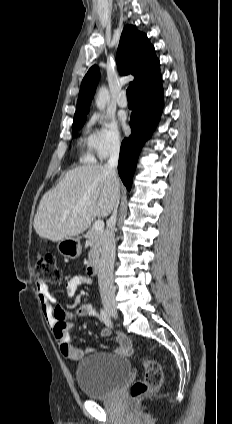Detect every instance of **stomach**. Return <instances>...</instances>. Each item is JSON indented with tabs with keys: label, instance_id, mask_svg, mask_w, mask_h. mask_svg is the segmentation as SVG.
<instances>
[{
	"label": "stomach",
	"instance_id": "obj_1",
	"mask_svg": "<svg viewBox=\"0 0 232 424\" xmlns=\"http://www.w3.org/2000/svg\"><path fill=\"white\" fill-rule=\"evenodd\" d=\"M57 249L61 255L69 259L80 256L82 246L79 237H70L58 242Z\"/></svg>",
	"mask_w": 232,
	"mask_h": 424
}]
</instances>
